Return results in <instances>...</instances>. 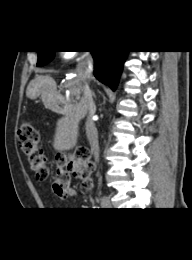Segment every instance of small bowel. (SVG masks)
Masks as SVG:
<instances>
[{
	"mask_svg": "<svg viewBox=\"0 0 192 260\" xmlns=\"http://www.w3.org/2000/svg\"><path fill=\"white\" fill-rule=\"evenodd\" d=\"M75 196H76V191H75L74 189H70V190L68 191V197L73 198V197H75Z\"/></svg>",
	"mask_w": 192,
	"mask_h": 260,
	"instance_id": "1",
	"label": "small bowel"
}]
</instances>
